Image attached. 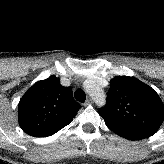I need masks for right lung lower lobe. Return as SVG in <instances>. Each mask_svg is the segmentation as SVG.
I'll list each match as a JSON object with an SVG mask.
<instances>
[{
	"label": "right lung lower lobe",
	"instance_id": "98d812e1",
	"mask_svg": "<svg viewBox=\"0 0 164 164\" xmlns=\"http://www.w3.org/2000/svg\"><path fill=\"white\" fill-rule=\"evenodd\" d=\"M69 124V123H68ZM67 125V124H66ZM64 125V126H66ZM64 126H61L60 128L48 133V134H45V135H42V136H39V137H46V136H49V135H53L54 133H56L57 131H59L60 129H62Z\"/></svg>",
	"mask_w": 164,
	"mask_h": 164
}]
</instances>
